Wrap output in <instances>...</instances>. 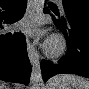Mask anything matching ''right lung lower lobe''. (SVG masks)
I'll list each match as a JSON object with an SVG mask.
<instances>
[{"label": "right lung lower lobe", "mask_w": 89, "mask_h": 89, "mask_svg": "<svg viewBox=\"0 0 89 89\" xmlns=\"http://www.w3.org/2000/svg\"><path fill=\"white\" fill-rule=\"evenodd\" d=\"M27 0H0V7L8 10L0 23V80L28 85L31 64L27 55L25 37L19 32L3 31L2 22L13 24L25 13Z\"/></svg>", "instance_id": "right-lung-lower-lobe-1"}]
</instances>
